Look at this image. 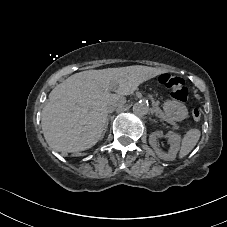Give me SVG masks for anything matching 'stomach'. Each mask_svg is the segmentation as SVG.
<instances>
[{"label": "stomach", "mask_w": 227, "mask_h": 227, "mask_svg": "<svg viewBox=\"0 0 227 227\" xmlns=\"http://www.w3.org/2000/svg\"><path fill=\"white\" fill-rule=\"evenodd\" d=\"M163 110L168 118L181 121L187 118L188 111L185 105L175 100H168L163 104Z\"/></svg>", "instance_id": "1"}]
</instances>
